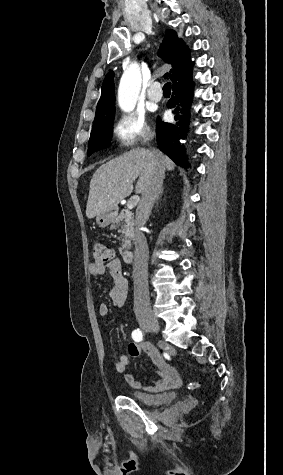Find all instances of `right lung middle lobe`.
Masks as SVG:
<instances>
[{
	"label": "right lung middle lobe",
	"instance_id": "obj_1",
	"mask_svg": "<svg viewBox=\"0 0 283 475\" xmlns=\"http://www.w3.org/2000/svg\"><path fill=\"white\" fill-rule=\"evenodd\" d=\"M114 116V105L97 107L93 129L88 142V156L95 151L109 147V141L113 131Z\"/></svg>",
	"mask_w": 283,
	"mask_h": 475
}]
</instances>
